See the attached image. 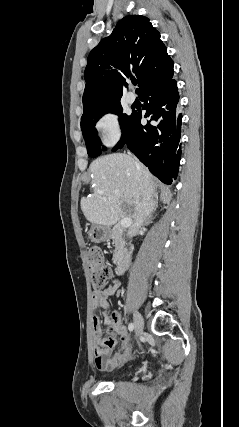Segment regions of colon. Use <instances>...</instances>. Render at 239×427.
<instances>
[{
  "mask_svg": "<svg viewBox=\"0 0 239 427\" xmlns=\"http://www.w3.org/2000/svg\"><path fill=\"white\" fill-rule=\"evenodd\" d=\"M87 260L93 288L96 290L103 289L112 275V270L105 263L102 250L96 246L89 247Z\"/></svg>",
  "mask_w": 239,
  "mask_h": 427,
  "instance_id": "5ec220e1",
  "label": "colon"
}]
</instances>
